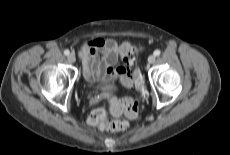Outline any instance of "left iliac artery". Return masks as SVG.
Wrapping results in <instances>:
<instances>
[{"instance_id":"obj_1","label":"left iliac artery","mask_w":230,"mask_h":155,"mask_svg":"<svg viewBox=\"0 0 230 155\" xmlns=\"http://www.w3.org/2000/svg\"><path fill=\"white\" fill-rule=\"evenodd\" d=\"M160 53H161L160 50H155V51H154V55H155V56H159Z\"/></svg>"}]
</instances>
